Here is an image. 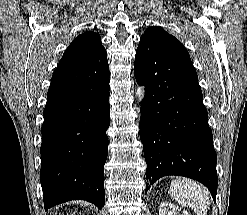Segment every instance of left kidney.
<instances>
[{
	"label": "left kidney",
	"instance_id": "obj_1",
	"mask_svg": "<svg viewBox=\"0 0 247 215\" xmlns=\"http://www.w3.org/2000/svg\"><path fill=\"white\" fill-rule=\"evenodd\" d=\"M159 215H190L185 209L172 204L171 202H161Z\"/></svg>",
	"mask_w": 247,
	"mask_h": 215
}]
</instances>
